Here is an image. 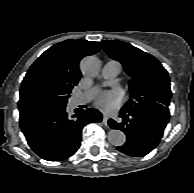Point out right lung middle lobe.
<instances>
[{"label":"right lung middle lobe","instance_id":"dd1d6c3e","mask_svg":"<svg viewBox=\"0 0 194 193\" xmlns=\"http://www.w3.org/2000/svg\"><path fill=\"white\" fill-rule=\"evenodd\" d=\"M71 90L70 88L57 86L42 88L32 99L20 102L19 111L64 108L70 97Z\"/></svg>","mask_w":194,"mask_h":193}]
</instances>
